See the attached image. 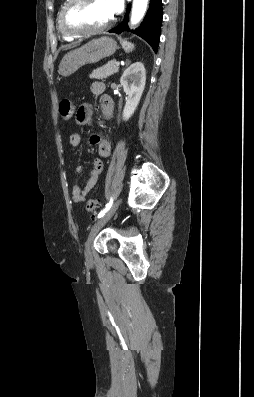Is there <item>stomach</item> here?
Segmentation results:
<instances>
[{"instance_id":"0dacf381","label":"stomach","mask_w":254,"mask_h":397,"mask_svg":"<svg viewBox=\"0 0 254 397\" xmlns=\"http://www.w3.org/2000/svg\"><path fill=\"white\" fill-rule=\"evenodd\" d=\"M118 45L111 37L93 39L80 48L69 51L62 58L58 73L67 77L86 64L97 63L115 53Z\"/></svg>"}]
</instances>
